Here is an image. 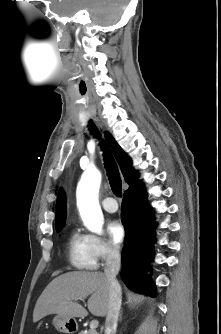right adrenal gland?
<instances>
[{
    "instance_id": "1",
    "label": "right adrenal gland",
    "mask_w": 221,
    "mask_h": 334,
    "mask_svg": "<svg viewBox=\"0 0 221 334\" xmlns=\"http://www.w3.org/2000/svg\"><path fill=\"white\" fill-rule=\"evenodd\" d=\"M120 320H122V311H121V313H120Z\"/></svg>"
}]
</instances>
